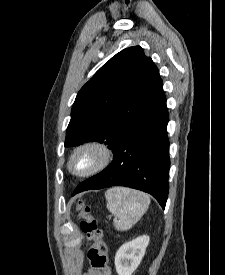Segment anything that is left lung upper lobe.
<instances>
[{
	"instance_id": "left-lung-upper-lobe-1",
	"label": "left lung upper lobe",
	"mask_w": 225,
	"mask_h": 275,
	"mask_svg": "<svg viewBox=\"0 0 225 275\" xmlns=\"http://www.w3.org/2000/svg\"><path fill=\"white\" fill-rule=\"evenodd\" d=\"M162 91L159 70L140 46L120 51L78 92L65 147L97 141L113 151Z\"/></svg>"
}]
</instances>
